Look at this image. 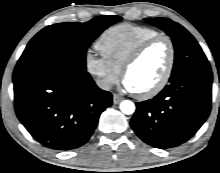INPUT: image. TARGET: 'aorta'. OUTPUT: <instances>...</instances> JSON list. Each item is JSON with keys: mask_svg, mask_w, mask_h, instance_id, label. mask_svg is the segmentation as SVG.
<instances>
[{"mask_svg": "<svg viewBox=\"0 0 220 173\" xmlns=\"http://www.w3.org/2000/svg\"><path fill=\"white\" fill-rule=\"evenodd\" d=\"M120 110L126 115L133 114L135 112V104L130 100H124L120 104Z\"/></svg>", "mask_w": 220, "mask_h": 173, "instance_id": "aorta-1", "label": "aorta"}]
</instances>
